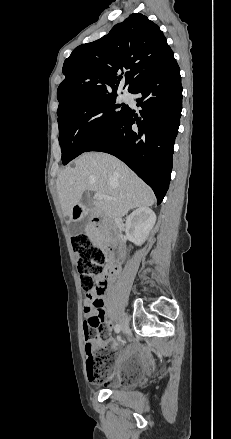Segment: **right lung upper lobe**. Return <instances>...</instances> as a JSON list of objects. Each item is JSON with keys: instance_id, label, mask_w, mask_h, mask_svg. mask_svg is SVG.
Returning <instances> with one entry per match:
<instances>
[{"instance_id": "obj_1", "label": "right lung upper lobe", "mask_w": 231, "mask_h": 439, "mask_svg": "<svg viewBox=\"0 0 231 439\" xmlns=\"http://www.w3.org/2000/svg\"><path fill=\"white\" fill-rule=\"evenodd\" d=\"M172 58L159 27L145 15L131 14L107 35L76 47L65 60L57 114L82 101L117 95L124 72V88L131 92Z\"/></svg>"}]
</instances>
